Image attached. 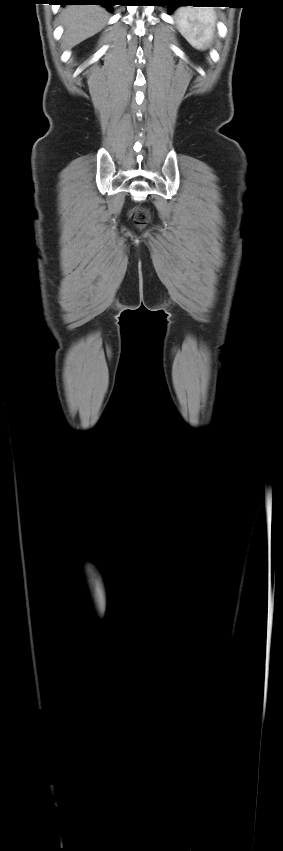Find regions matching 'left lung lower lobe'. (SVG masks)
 <instances>
[{
    "label": "left lung lower lobe",
    "instance_id": "left-lung-lower-lobe-1",
    "mask_svg": "<svg viewBox=\"0 0 283 851\" xmlns=\"http://www.w3.org/2000/svg\"><path fill=\"white\" fill-rule=\"evenodd\" d=\"M220 2V0H171L167 2V6H170L169 12H171L178 6H209Z\"/></svg>",
    "mask_w": 283,
    "mask_h": 851
}]
</instances>
